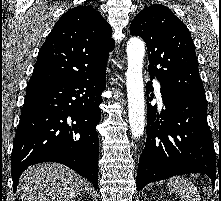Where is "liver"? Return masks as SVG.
Returning <instances> with one entry per match:
<instances>
[{"instance_id":"liver-1","label":"liver","mask_w":221,"mask_h":201,"mask_svg":"<svg viewBox=\"0 0 221 201\" xmlns=\"http://www.w3.org/2000/svg\"><path fill=\"white\" fill-rule=\"evenodd\" d=\"M86 181L70 168L41 163L24 171L20 178L22 201H68L78 195Z\"/></svg>"}]
</instances>
